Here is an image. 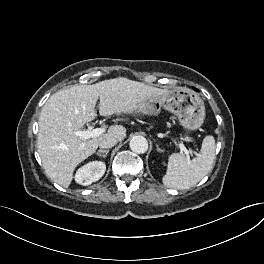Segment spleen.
I'll use <instances>...</instances> for the list:
<instances>
[{"mask_svg": "<svg viewBox=\"0 0 264 264\" xmlns=\"http://www.w3.org/2000/svg\"><path fill=\"white\" fill-rule=\"evenodd\" d=\"M215 147L214 137L206 136L197 157L190 160L181 153L172 154L169 157L166 174L162 179L163 184L174 189H188L196 185L212 170Z\"/></svg>", "mask_w": 264, "mask_h": 264, "instance_id": "obj_1", "label": "spleen"}]
</instances>
